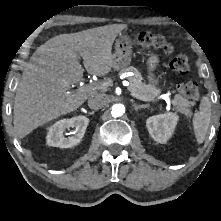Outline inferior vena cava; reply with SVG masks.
<instances>
[{
  "label": "inferior vena cava",
  "mask_w": 221,
  "mask_h": 221,
  "mask_svg": "<svg viewBox=\"0 0 221 221\" xmlns=\"http://www.w3.org/2000/svg\"><path fill=\"white\" fill-rule=\"evenodd\" d=\"M108 103V98L105 94H95L89 97L88 106L91 109L97 110L104 107Z\"/></svg>",
  "instance_id": "602c4592"
}]
</instances>
